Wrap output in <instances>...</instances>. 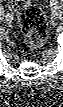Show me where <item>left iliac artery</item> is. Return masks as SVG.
Here are the masks:
<instances>
[{
	"label": "left iliac artery",
	"instance_id": "left-iliac-artery-1",
	"mask_svg": "<svg viewBox=\"0 0 63 107\" xmlns=\"http://www.w3.org/2000/svg\"><path fill=\"white\" fill-rule=\"evenodd\" d=\"M50 4H51V6H56L57 4H58V2L56 1V0H52L51 2H50Z\"/></svg>",
	"mask_w": 63,
	"mask_h": 107
}]
</instances>
